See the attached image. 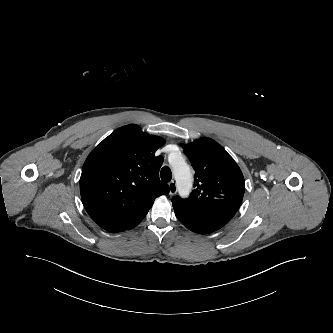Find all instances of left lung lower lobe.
<instances>
[{
	"mask_svg": "<svg viewBox=\"0 0 333 333\" xmlns=\"http://www.w3.org/2000/svg\"><path fill=\"white\" fill-rule=\"evenodd\" d=\"M240 204L236 200H219L204 204L173 203L175 215L189 230L208 234L217 231L235 215Z\"/></svg>",
	"mask_w": 333,
	"mask_h": 333,
	"instance_id": "0a47b994",
	"label": "left lung lower lobe"
}]
</instances>
